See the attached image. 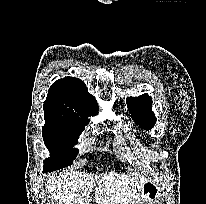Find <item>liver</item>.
<instances>
[{"label": "liver", "instance_id": "liver-1", "mask_svg": "<svg viewBox=\"0 0 206 204\" xmlns=\"http://www.w3.org/2000/svg\"><path fill=\"white\" fill-rule=\"evenodd\" d=\"M145 181L144 176L132 170L127 174L110 171L99 175L71 170L49 178L46 187L56 204H90L95 186L98 204H134Z\"/></svg>", "mask_w": 206, "mask_h": 204}]
</instances>
